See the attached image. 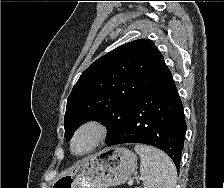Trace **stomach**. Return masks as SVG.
Masks as SVG:
<instances>
[{
    "instance_id": "stomach-1",
    "label": "stomach",
    "mask_w": 224,
    "mask_h": 188,
    "mask_svg": "<svg viewBox=\"0 0 224 188\" xmlns=\"http://www.w3.org/2000/svg\"><path fill=\"white\" fill-rule=\"evenodd\" d=\"M137 157L124 147L103 149L61 173L52 188H108L125 183L134 173Z\"/></svg>"
}]
</instances>
